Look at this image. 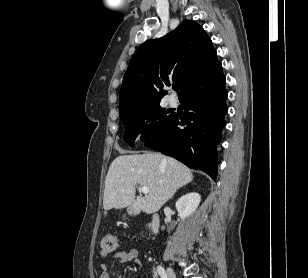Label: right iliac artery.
Instances as JSON below:
<instances>
[{
  "label": "right iliac artery",
  "mask_w": 308,
  "mask_h": 278,
  "mask_svg": "<svg viewBox=\"0 0 308 278\" xmlns=\"http://www.w3.org/2000/svg\"><path fill=\"white\" fill-rule=\"evenodd\" d=\"M157 272L161 276V278H167L166 272L162 266H157Z\"/></svg>",
  "instance_id": "1"
}]
</instances>
